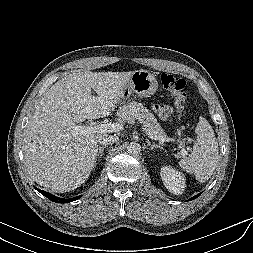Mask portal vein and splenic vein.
Wrapping results in <instances>:
<instances>
[{
  "mask_svg": "<svg viewBox=\"0 0 253 253\" xmlns=\"http://www.w3.org/2000/svg\"><path fill=\"white\" fill-rule=\"evenodd\" d=\"M122 129V125L120 124H116V123H106V124H96L93 123L91 125H87V126H76L75 127V131L77 133H88V132H92V133H108V132H116ZM146 135H148L149 138L154 139V140H159L160 142H169L172 139L169 138H164V137H160L157 135H154L150 132H148L145 129ZM186 151L184 149H182V155H185Z\"/></svg>",
  "mask_w": 253,
  "mask_h": 253,
  "instance_id": "obj_1",
  "label": "portal vein and splenic vein"
}]
</instances>
